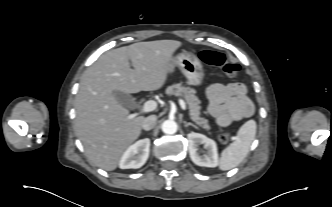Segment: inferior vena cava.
Here are the masks:
<instances>
[{
	"label": "inferior vena cava",
	"mask_w": 332,
	"mask_h": 207,
	"mask_svg": "<svg viewBox=\"0 0 332 207\" xmlns=\"http://www.w3.org/2000/svg\"><path fill=\"white\" fill-rule=\"evenodd\" d=\"M157 117L155 115H150L146 117L142 122V128L146 131L154 128L156 124Z\"/></svg>",
	"instance_id": "inferior-vena-cava-1"
}]
</instances>
